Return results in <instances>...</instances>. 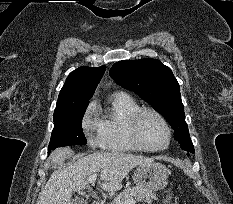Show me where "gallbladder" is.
I'll use <instances>...</instances> for the list:
<instances>
[{
	"label": "gallbladder",
	"instance_id": "1",
	"mask_svg": "<svg viewBox=\"0 0 233 204\" xmlns=\"http://www.w3.org/2000/svg\"><path fill=\"white\" fill-rule=\"evenodd\" d=\"M72 204H87V201L83 198H75Z\"/></svg>",
	"mask_w": 233,
	"mask_h": 204
}]
</instances>
